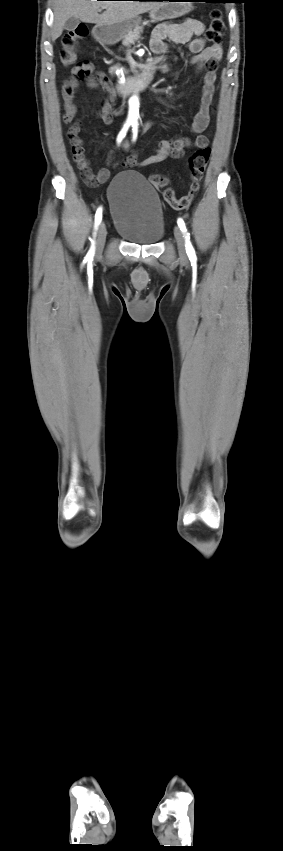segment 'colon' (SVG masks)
<instances>
[{
    "instance_id": "obj_1",
    "label": "colon",
    "mask_w": 283,
    "mask_h": 851,
    "mask_svg": "<svg viewBox=\"0 0 283 851\" xmlns=\"http://www.w3.org/2000/svg\"><path fill=\"white\" fill-rule=\"evenodd\" d=\"M210 16L211 22L204 37L207 41L217 44L225 34L226 28L220 10H213ZM87 35L88 29L85 25H79L63 35L60 49V60L63 65L68 66L76 61L78 42ZM210 154L211 150L209 147H201L190 156L188 160L191 179L190 187L189 191L180 198H176L174 190L169 186L168 178L164 175L155 174L151 177L152 184L162 193L163 198L173 209L184 210L191 205L199 189V183L207 167Z\"/></svg>"
}]
</instances>
